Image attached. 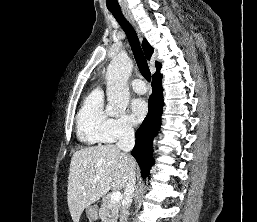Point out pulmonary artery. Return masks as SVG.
<instances>
[{
    "instance_id": "pulmonary-artery-1",
    "label": "pulmonary artery",
    "mask_w": 257,
    "mask_h": 222,
    "mask_svg": "<svg viewBox=\"0 0 257 222\" xmlns=\"http://www.w3.org/2000/svg\"><path fill=\"white\" fill-rule=\"evenodd\" d=\"M132 89L138 94H144L147 91L145 83L140 79H135L131 82Z\"/></svg>"
}]
</instances>
